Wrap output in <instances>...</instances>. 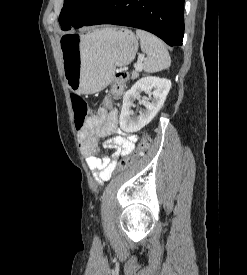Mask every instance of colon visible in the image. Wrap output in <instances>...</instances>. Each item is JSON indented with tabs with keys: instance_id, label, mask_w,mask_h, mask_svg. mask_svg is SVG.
<instances>
[{
	"instance_id": "5ec220e1",
	"label": "colon",
	"mask_w": 247,
	"mask_h": 275,
	"mask_svg": "<svg viewBox=\"0 0 247 275\" xmlns=\"http://www.w3.org/2000/svg\"><path fill=\"white\" fill-rule=\"evenodd\" d=\"M128 77L129 74L125 70H118L116 72L115 77L111 82L110 90L105 101L108 107H111L114 101L120 98V96L123 94L125 83ZM71 101L74 112L75 125L76 128L80 130L84 126L89 116L90 108L86 100L79 95L72 94ZM149 145L150 136L148 134H144L140 140L137 149L118 162V164L116 165V172H122L131 165L135 164L149 147Z\"/></svg>"
}]
</instances>
